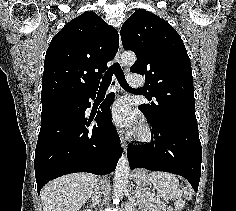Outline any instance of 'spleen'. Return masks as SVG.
<instances>
[{
  "instance_id": "spleen-1",
  "label": "spleen",
  "mask_w": 236,
  "mask_h": 211,
  "mask_svg": "<svg viewBox=\"0 0 236 211\" xmlns=\"http://www.w3.org/2000/svg\"><path fill=\"white\" fill-rule=\"evenodd\" d=\"M148 178L161 197L167 201L174 200L175 207L181 211L185 206V201L182 199L179 180L175 175L167 172H151Z\"/></svg>"
}]
</instances>
